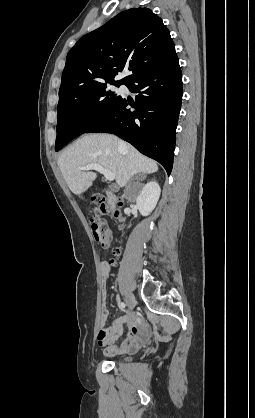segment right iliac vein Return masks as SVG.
<instances>
[{"instance_id": "63e3f726", "label": "right iliac vein", "mask_w": 255, "mask_h": 418, "mask_svg": "<svg viewBox=\"0 0 255 418\" xmlns=\"http://www.w3.org/2000/svg\"><path fill=\"white\" fill-rule=\"evenodd\" d=\"M126 302H127V305H128L129 310H133V308L136 305V301H135L134 296L131 295V294L127 295Z\"/></svg>"}]
</instances>
